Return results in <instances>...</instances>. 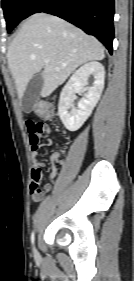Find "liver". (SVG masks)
<instances>
[{"mask_svg":"<svg viewBox=\"0 0 134 281\" xmlns=\"http://www.w3.org/2000/svg\"><path fill=\"white\" fill-rule=\"evenodd\" d=\"M104 57V47L95 37L45 13L33 14L23 23L7 52L19 99L37 73L41 72L44 80L40 94L47 97L78 66Z\"/></svg>","mask_w":134,"mask_h":281,"instance_id":"obj_1","label":"liver"}]
</instances>
